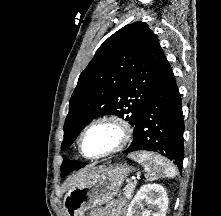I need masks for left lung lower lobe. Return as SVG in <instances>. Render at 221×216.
<instances>
[{
    "label": "left lung lower lobe",
    "instance_id": "1",
    "mask_svg": "<svg viewBox=\"0 0 221 216\" xmlns=\"http://www.w3.org/2000/svg\"><path fill=\"white\" fill-rule=\"evenodd\" d=\"M183 131L180 94L172 69L163 57L155 73L145 110L135 128L134 139L123 153L154 151L172 160L181 171Z\"/></svg>",
    "mask_w": 221,
    "mask_h": 216
}]
</instances>
